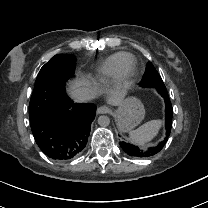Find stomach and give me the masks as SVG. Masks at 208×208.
Wrapping results in <instances>:
<instances>
[{"instance_id":"1","label":"stomach","mask_w":208,"mask_h":208,"mask_svg":"<svg viewBox=\"0 0 208 208\" xmlns=\"http://www.w3.org/2000/svg\"><path fill=\"white\" fill-rule=\"evenodd\" d=\"M121 131H128L135 127L144 117V108L136 98L123 101L114 113Z\"/></svg>"}]
</instances>
